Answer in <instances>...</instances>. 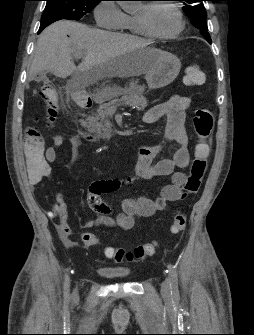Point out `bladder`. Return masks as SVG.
Wrapping results in <instances>:
<instances>
[{
  "mask_svg": "<svg viewBox=\"0 0 254 335\" xmlns=\"http://www.w3.org/2000/svg\"><path fill=\"white\" fill-rule=\"evenodd\" d=\"M97 272L111 279H123L129 276L130 272L126 269L114 267H99Z\"/></svg>",
  "mask_w": 254,
  "mask_h": 335,
  "instance_id": "1",
  "label": "bladder"
}]
</instances>
